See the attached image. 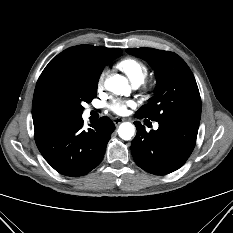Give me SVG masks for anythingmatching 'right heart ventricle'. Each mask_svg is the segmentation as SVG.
I'll list each match as a JSON object with an SVG mask.
<instances>
[{
  "instance_id": "e07e8e85",
  "label": "right heart ventricle",
  "mask_w": 233,
  "mask_h": 233,
  "mask_svg": "<svg viewBox=\"0 0 233 233\" xmlns=\"http://www.w3.org/2000/svg\"><path fill=\"white\" fill-rule=\"evenodd\" d=\"M117 68L127 76L133 85L141 84L148 72L147 65L143 61L132 57L120 60Z\"/></svg>"
}]
</instances>
